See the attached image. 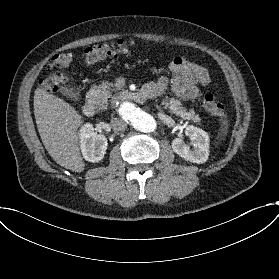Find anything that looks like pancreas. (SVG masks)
<instances>
[{
	"mask_svg": "<svg viewBox=\"0 0 279 279\" xmlns=\"http://www.w3.org/2000/svg\"><path fill=\"white\" fill-rule=\"evenodd\" d=\"M113 86H114L113 83L106 81V82H102L98 86H94L93 88L97 94V97L101 100V102L107 103V99L112 96L111 91ZM162 105H164L165 108H169L170 113L176 114L177 116H180L183 119H187V120L192 119L195 122L200 121V119L197 116H195L194 110L191 109L189 112H187L186 109L182 107V104L179 100L166 97L162 101Z\"/></svg>",
	"mask_w": 279,
	"mask_h": 279,
	"instance_id": "1",
	"label": "pancreas"
}]
</instances>
